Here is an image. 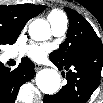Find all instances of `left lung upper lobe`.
I'll return each instance as SVG.
<instances>
[{
	"label": "left lung upper lobe",
	"instance_id": "5c2ea615",
	"mask_svg": "<svg viewBox=\"0 0 103 103\" xmlns=\"http://www.w3.org/2000/svg\"><path fill=\"white\" fill-rule=\"evenodd\" d=\"M69 16L67 38L58 50L50 54L51 61L60 65H67L74 59L87 55L93 46L102 48V41L89 22L78 12L64 8Z\"/></svg>",
	"mask_w": 103,
	"mask_h": 103
}]
</instances>
